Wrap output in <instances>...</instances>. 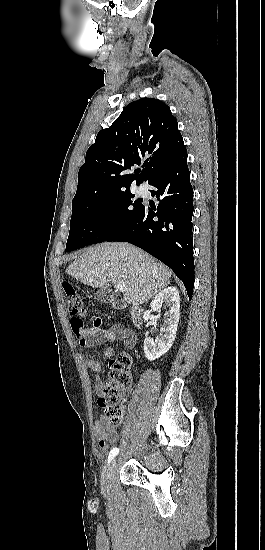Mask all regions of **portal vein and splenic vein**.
<instances>
[{"label":"portal vein and splenic vein","mask_w":265,"mask_h":550,"mask_svg":"<svg viewBox=\"0 0 265 550\" xmlns=\"http://www.w3.org/2000/svg\"><path fill=\"white\" fill-rule=\"evenodd\" d=\"M117 289L121 292H125L126 291V286L124 284H121V283H118L116 285Z\"/></svg>","instance_id":"portal-vein-and-splenic-vein-1"}]
</instances>
